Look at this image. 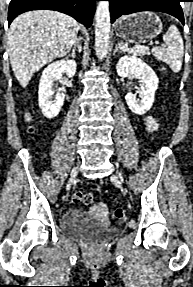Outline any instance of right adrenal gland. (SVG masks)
I'll list each match as a JSON object with an SVG mask.
<instances>
[{"instance_id": "1", "label": "right adrenal gland", "mask_w": 193, "mask_h": 287, "mask_svg": "<svg viewBox=\"0 0 193 287\" xmlns=\"http://www.w3.org/2000/svg\"><path fill=\"white\" fill-rule=\"evenodd\" d=\"M76 51L81 52V45L77 42L73 45L72 53L69 56H72L73 58L76 57Z\"/></svg>"}]
</instances>
